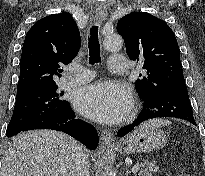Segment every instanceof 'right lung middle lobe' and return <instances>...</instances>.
<instances>
[{"mask_svg": "<svg viewBox=\"0 0 205 176\" xmlns=\"http://www.w3.org/2000/svg\"><path fill=\"white\" fill-rule=\"evenodd\" d=\"M57 89L56 85L17 95L6 136L12 137L39 118L67 106L69 103L60 98L63 93Z\"/></svg>", "mask_w": 205, "mask_h": 176, "instance_id": "dd1d6c3e", "label": "right lung middle lobe"}]
</instances>
